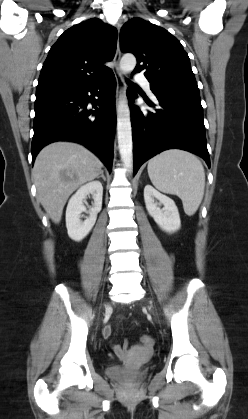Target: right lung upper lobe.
<instances>
[{"mask_svg": "<svg viewBox=\"0 0 248 419\" xmlns=\"http://www.w3.org/2000/svg\"><path fill=\"white\" fill-rule=\"evenodd\" d=\"M117 30L92 18L67 29L51 47L41 69L36 94L93 83L111 69Z\"/></svg>", "mask_w": 248, "mask_h": 419, "instance_id": "cb5924a9", "label": "right lung upper lobe"}]
</instances>
